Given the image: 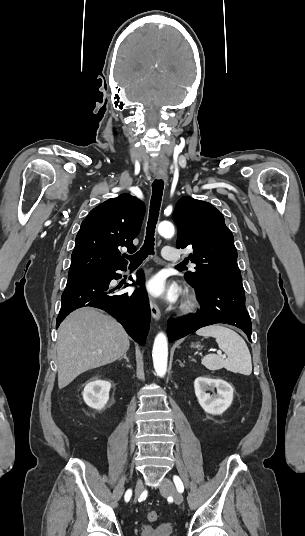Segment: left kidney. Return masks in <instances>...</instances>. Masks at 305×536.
Segmentation results:
<instances>
[{
	"instance_id": "5707ae66",
	"label": "left kidney",
	"mask_w": 305,
	"mask_h": 536,
	"mask_svg": "<svg viewBox=\"0 0 305 536\" xmlns=\"http://www.w3.org/2000/svg\"><path fill=\"white\" fill-rule=\"evenodd\" d=\"M217 388V394L210 396L206 394L207 390H214ZM195 396L203 410L207 414H223L229 406L232 404L233 400V388L225 382V380H212L208 376H199L194 382Z\"/></svg>"
}]
</instances>
